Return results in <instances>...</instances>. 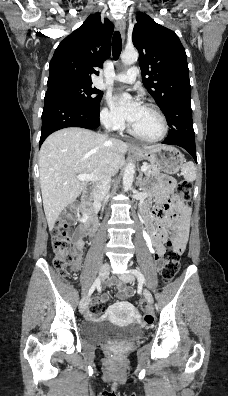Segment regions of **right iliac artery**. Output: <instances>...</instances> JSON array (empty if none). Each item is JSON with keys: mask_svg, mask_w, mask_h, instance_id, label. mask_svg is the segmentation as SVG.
I'll list each match as a JSON object with an SVG mask.
<instances>
[{"mask_svg": "<svg viewBox=\"0 0 228 396\" xmlns=\"http://www.w3.org/2000/svg\"><path fill=\"white\" fill-rule=\"evenodd\" d=\"M99 286H100V278H97L95 280V282L93 283V285L91 286V288H90V290L88 292V295H91L94 292L95 288L99 287Z\"/></svg>", "mask_w": 228, "mask_h": 396, "instance_id": "obj_1", "label": "right iliac artery"}]
</instances>
